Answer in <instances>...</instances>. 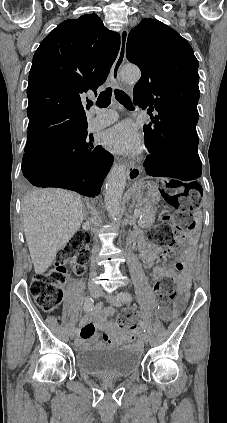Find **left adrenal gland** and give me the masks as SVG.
Segmentation results:
<instances>
[{
  "instance_id": "1",
  "label": "left adrenal gland",
  "mask_w": 227,
  "mask_h": 423,
  "mask_svg": "<svg viewBox=\"0 0 227 423\" xmlns=\"http://www.w3.org/2000/svg\"><path fill=\"white\" fill-rule=\"evenodd\" d=\"M129 211H133V206H130Z\"/></svg>"
}]
</instances>
